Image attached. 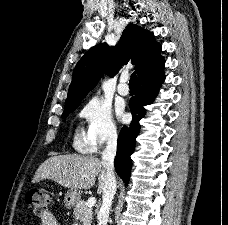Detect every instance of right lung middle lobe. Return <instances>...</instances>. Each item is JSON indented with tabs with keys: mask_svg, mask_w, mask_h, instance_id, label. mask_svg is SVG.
I'll use <instances>...</instances> for the list:
<instances>
[{
	"mask_svg": "<svg viewBox=\"0 0 228 225\" xmlns=\"http://www.w3.org/2000/svg\"><path fill=\"white\" fill-rule=\"evenodd\" d=\"M79 104L80 103L65 107L64 112L62 114V118L67 117L71 112H73L79 106Z\"/></svg>",
	"mask_w": 228,
	"mask_h": 225,
	"instance_id": "obj_1",
	"label": "right lung middle lobe"
}]
</instances>
